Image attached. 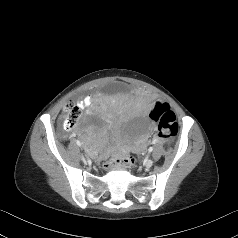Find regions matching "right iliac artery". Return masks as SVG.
Segmentation results:
<instances>
[{
	"instance_id": "1",
	"label": "right iliac artery",
	"mask_w": 238,
	"mask_h": 238,
	"mask_svg": "<svg viewBox=\"0 0 238 238\" xmlns=\"http://www.w3.org/2000/svg\"><path fill=\"white\" fill-rule=\"evenodd\" d=\"M76 144H77L78 146H81V142H80L79 140H76Z\"/></svg>"
}]
</instances>
